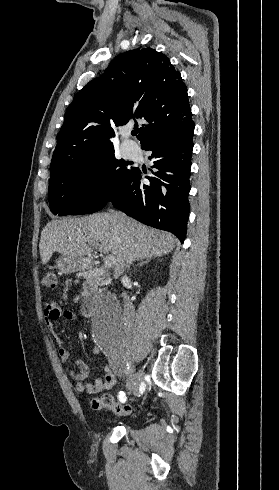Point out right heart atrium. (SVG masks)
Wrapping results in <instances>:
<instances>
[{
  "instance_id": "obj_1",
  "label": "right heart atrium",
  "mask_w": 279,
  "mask_h": 490,
  "mask_svg": "<svg viewBox=\"0 0 279 490\" xmlns=\"http://www.w3.org/2000/svg\"><path fill=\"white\" fill-rule=\"evenodd\" d=\"M107 174L104 171L98 172L88 185L89 200L92 204L100 202L104 196L106 188Z\"/></svg>"
}]
</instances>
